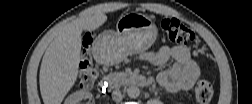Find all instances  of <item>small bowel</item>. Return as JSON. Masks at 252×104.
I'll list each match as a JSON object with an SVG mask.
<instances>
[{"mask_svg":"<svg viewBox=\"0 0 252 104\" xmlns=\"http://www.w3.org/2000/svg\"><path fill=\"white\" fill-rule=\"evenodd\" d=\"M141 59L155 66H164L171 59L172 65L157 75L158 83L166 92L175 93L190 89L199 77L200 70L184 45L163 46L158 50L146 52Z\"/></svg>","mask_w":252,"mask_h":104,"instance_id":"1","label":"small bowel"}]
</instances>
